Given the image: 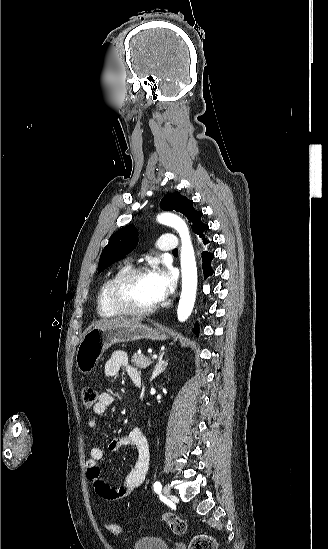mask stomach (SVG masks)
<instances>
[{
    "instance_id": "1",
    "label": "stomach",
    "mask_w": 328,
    "mask_h": 549,
    "mask_svg": "<svg viewBox=\"0 0 328 549\" xmlns=\"http://www.w3.org/2000/svg\"><path fill=\"white\" fill-rule=\"evenodd\" d=\"M139 339L166 341L168 339L161 329H153L145 323H132L130 327L110 325V327H91L76 351V367L80 373L89 375L96 369L103 353L115 343H128Z\"/></svg>"
}]
</instances>
